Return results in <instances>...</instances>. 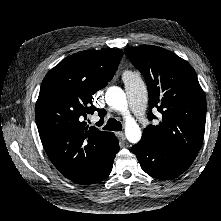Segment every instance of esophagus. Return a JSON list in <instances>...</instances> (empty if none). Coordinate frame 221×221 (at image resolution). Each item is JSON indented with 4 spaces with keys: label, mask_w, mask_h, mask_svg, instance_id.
I'll list each match as a JSON object with an SVG mask.
<instances>
[{
    "label": "esophagus",
    "mask_w": 221,
    "mask_h": 221,
    "mask_svg": "<svg viewBox=\"0 0 221 221\" xmlns=\"http://www.w3.org/2000/svg\"><path fill=\"white\" fill-rule=\"evenodd\" d=\"M116 135L122 141L126 139L124 132H117Z\"/></svg>",
    "instance_id": "obj_1"
}]
</instances>
